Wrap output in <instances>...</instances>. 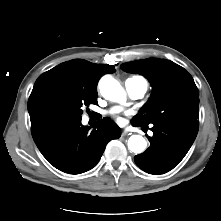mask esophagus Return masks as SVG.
I'll use <instances>...</instances> for the list:
<instances>
[{
	"instance_id": "1",
	"label": "esophagus",
	"mask_w": 221,
	"mask_h": 221,
	"mask_svg": "<svg viewBox=\"0 0 221 221\" xmlns=\"http://www.w3.org/2000/svg\"><path fill=\"white\" fill-rule=\"evenodd\" d=\"M128 133H129L128 129H126V128L123 129V132H122L123 135H127Z\"/></svg>"
}]
</instances>
